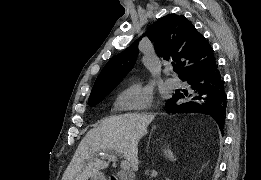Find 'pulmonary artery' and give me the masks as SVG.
<instances>
[{
  "instance_id": "1",
  "label": "pulmonary artery",
  "mask_w": 261,
  "mask_h": 180,
  "mask_svg": "<svg viewBox=\"0 0 261 180\" xmlns=\"http://www.w3.org/2000/svg\"><path fill=\"white\" fill-rule=\"evenodd\" d=\"M166 85L170 88V89H175L180 85L179 80H177L176 78H169L166 81Z\"/></svg>"
}]
</instances>
